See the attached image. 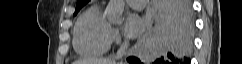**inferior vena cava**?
Instances as JSON below:
<instances>
[{
    "label": "inferior vena cava",
    "instance_id": "obj_1",
    "mask_svg": "<svg viewBox=\"0 0 242 64\" xmlns=\"http://www.w3.org/2000/svg\"><path fill=\"white\" fill-rule=\"evenodd\" d=\"M129 47V41L125 39V41L122 43L120 48L117 51L116 59H122V57L126 54V51Z\"/></svg>",
    "mask_w": 242,
    "mask_h": 64
}]
</instances>
